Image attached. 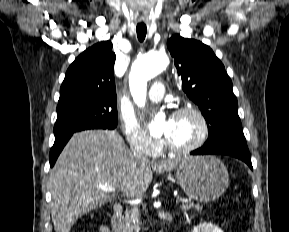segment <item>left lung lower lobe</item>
<instances>
[{"mask_svg": "<svg viewBox=\"0 0 289 232\" xmlns=\"http://www.w3.org/2000/svg\"><path fill=\"white\" fill-rule=\"evenodd\" d=\"M192 155H206V154H222L236 157L253 169L251 163V157L244 141L228 142L218 145H213L209 147H201L191 152Z\"/></svg>", "mask_w": 289, "mask_h": 232, "instance_id": "0a47b994", "label": "left lung lower lobe"}]
</instances>
